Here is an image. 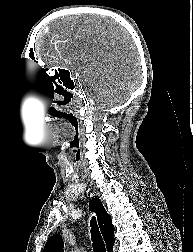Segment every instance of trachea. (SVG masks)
I'll list each match as a JSON object with an SVG mask.
<instances>
[{"label":"trachea","mask_w":193,"mask_h":252,"mask_svg":"<svg viewBox=\"0 0 193 252\" xmlns=\"http://www.w3.org/2000/svg\"><path fill=\"white\" fill-rule=\"evenodd\" d=\"M91 240L92 247L95 252H106L105 244L102 238V235L99 231L96 219L93 217L91 219Z\"/></svg>","instance_id":"trachea-1"}]
</instances>
